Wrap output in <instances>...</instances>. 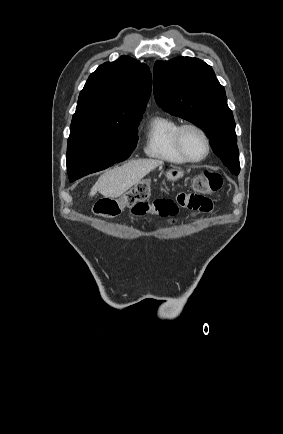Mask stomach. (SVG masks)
<instances>
[{"mask_svg": "<svg viewBox=\"0 0 283 434\" xmlns=\"http://www.w3.org/2000/svg\"><path fill=\"white\" fill-rule=\"evenodd\" d=\"M167 174L169 175V178L167 180L177 181L178 179L183 177L184 172L180 168L172 167L169 169V172Z\"/></svg>", "mask_w": 283, "mask_h": 434, "instance_id": "obj_1", "label": "stomach"}]
</instances>
